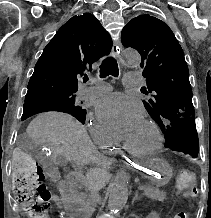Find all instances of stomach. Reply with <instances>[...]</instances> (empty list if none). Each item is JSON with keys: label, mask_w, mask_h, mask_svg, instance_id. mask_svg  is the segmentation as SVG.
Listing matches in <instances>:
<instances>
[{"label": "stomach", "mask_w": 211, "mask_h": 218, "mask_svg": "<svg viewBox=\"0 0 211 218\" xmlns=\"http://www.w3.org/2000/svg\"><path fill=\"white\" fill-rule=\"evenodd\" d=\"M139 170L157 187L166 185L172 176L170 165L162 159H151L142 165Z\"/></svg>", "instance_id": "0dacf381"}]
</instances>
